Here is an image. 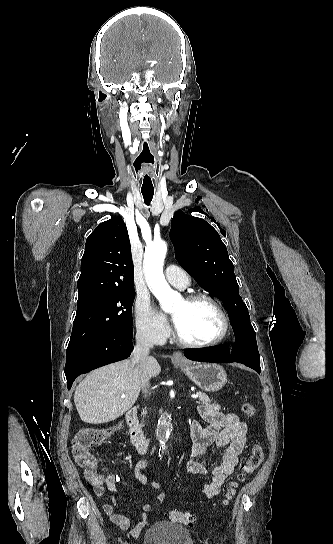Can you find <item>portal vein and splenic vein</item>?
<instances>
[{"label":"portal vein and splenic vein","instance_id":"obj_1","mask_svg":"<svg viewBox=\"0 0 333 544\" xmlns=\"http://www.w3.org/2000/svg\"><path fill=\"white\" fill-rule=\"evenodd\" d=\"M124 397H125V395H122V398H124ZM191 397L194 398V399H197V398H199V395L196 393V394H192Z\"/></svg>","mask_w":333,"mask_h":544}]
</instances>
